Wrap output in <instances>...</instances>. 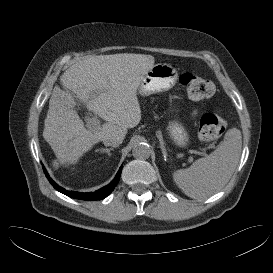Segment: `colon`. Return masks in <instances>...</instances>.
I'll return each instance as SVG.
<instances>
[{"mask_svg":"<svg viewBox=\"0 0 273 273\" xmlns=\"http://www.w3.org/2000/svg\"><path fill=\"white\" fill-rule=\"evenodd\" d=\"M179 82L188 95L195 100L210 98L215 93V86L210 80L191 73H183ZM225 128V122L220 116L205 113L200 120L199 137L205 142L216 141L222 136Z\"/></svg>","mask_w":273,"mask_h":273,"instance_id":"colon-1","label":"colon"}]
</instances>
